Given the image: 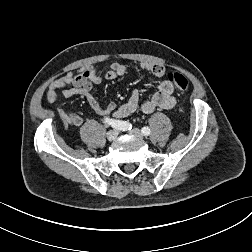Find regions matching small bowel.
Masks as SVG:
<instances>
[{"instance_id": "1", "label": "small bowel", "mask_w": 252, "mask_h": 252, "mask_svg": "<svg viewBox=\"0 0 252 252\" xmlns=\"http://www.w3.org/2000/svg\"><path fill=\"white\" fill-rule=\"evenodd\" d=\"M138 66L151 75L152 81H158L157 92L143 103H140V92L137 89L133 90L129 99L121 105L109 102L106 106H102L92 94L93 85L100 84L103 80H116L127 73V67L119 62L111 63L103 74H99L91 66L76 73H67L51 83L46 92V99L51 103L57 101L59 91L65 97L80 95L87 101L94 113L105 119L112 117L119 121L138 109L144 114H151L157 109L174 107L176 104V98L173 95L174 85L167 77H164V67L149 62H140ZM131 108H134L135 111H130ZM57 114L69 125L80 126L83 123L82 117L77 113L58 109Z\"/></svg>"}]
</instances>
